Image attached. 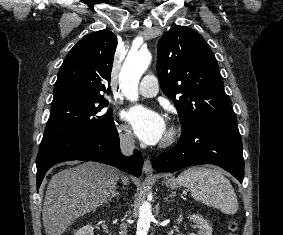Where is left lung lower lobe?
Returning <instances> with one entry per match:
<instances>
[{
	"mask_svg": "<svg viewBox=\"0 0 283 235\" xmlns=\"http://www.w3.org/2000/svg\"><path fill=\"white\" fill-rule=\"evenodd\" d=\"M151 162L158 172H175L188 166L214 164L242 182L244 159L237 121L200 125L182 132L173 148L159 156H152Z\"/></svg>",
	"mask_w": 283,
	"mask_h": 235,
	"instance_id": "obj_1",
	"label": "left lung lower lobe"
}]
</instances>
